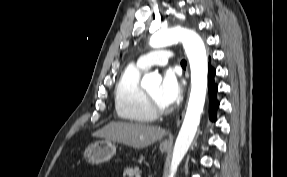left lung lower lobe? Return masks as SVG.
I'll return each mask as SVG.
<instances>
[{
    "label": "left lung lower lobe",
    "instance_id": "left-lung-lower-lobe-1",
    "mask_svg": "<svg viewBox=\"0 0 287 177\" xmlns=\"http://www.w3.org/2000/svg\"><path fill=\"white\" fill-rule=\"evenodd\" d=\"M215 69L211 67L210 62L208 65V89H209V116L211 121H215L216 111L219 107L217 100L218 85L214 81Z\"/></svg>",
    "mask_w": 287,
    "mask_h": 177
}]
</instances>
